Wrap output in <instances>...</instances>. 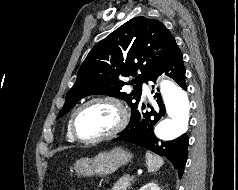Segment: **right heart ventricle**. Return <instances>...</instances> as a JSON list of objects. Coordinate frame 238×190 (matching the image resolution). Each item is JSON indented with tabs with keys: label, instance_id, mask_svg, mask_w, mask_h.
I'll list each match as a JSON object with an SVG mask.
<instances>
[{
	"label": "right heart ventricle",
	"instance_id": "1",
	"mask_svg": "<svg viewBox=\"0 0 238 190\" xmlns=\"http://www.w3.org/2000/svg\"><path fill=\"white\" fill-rule=\"evenodd\" d=\"M67 137L69 140H73L70 130H68Z\"/></svg>",
	"mask_w": 238,
	"mask_h": 190
}]
</instances>
